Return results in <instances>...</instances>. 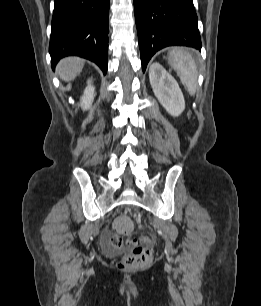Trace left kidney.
Listing matches in <instances>:
<instances>
[{
  "instance_id": "obj_1",
  "label": "left kidney",
  "mask_w": 261,
  "mask_h": 306,
  "mask_svg": "<svg viewBox=\"0 0 261 306\" xmlns=\"http://www.w3.org/2000/svg\"><path fill=\"white\" fill-rule=\"evenodd\" d=\"M149 80L161 105L171 116H179L185 109V100L177 81L159 63L151 64Z\"/></svg>"
}]
</instances>
